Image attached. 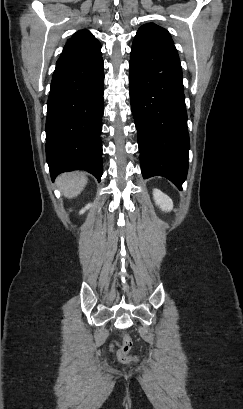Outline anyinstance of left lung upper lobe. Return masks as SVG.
<instances>
[{
    "mask_svg": "<svg viewBox=\"0 0 243 409\" xmlns=\"http://www.w3.org/2000/svg\"><path fill=\"white\" fill-rule=\"evenodd\" d=\"M173 43L169 32L153 23H148L139 28L132 47H153L161 43Z\"/></svg>",
    "mask_w": 243,
    "mask_h": 409,
    "instance_id": "left-lung-upper-lobe-1",
    "label": "left lung upper lobe"
}]
</instances>
